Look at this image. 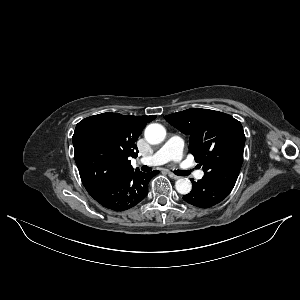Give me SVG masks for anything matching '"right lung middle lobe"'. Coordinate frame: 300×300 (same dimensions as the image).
<instances>
[{"label":"right lung middle lobe","mask_w":300,"mask_h":300,"mask_svg":"<svg viewBox=\"0 0 300 300\" xmlns=\"http://www.w3.org/2000/svg\"><path fill=\"white\" fill-rule=\"evenodd\" d=\"M72 140L75 162L84 186L120 176L117 161L95 127L77 124Z\"/></svg>","instance_id":"1"}]
</instances>
